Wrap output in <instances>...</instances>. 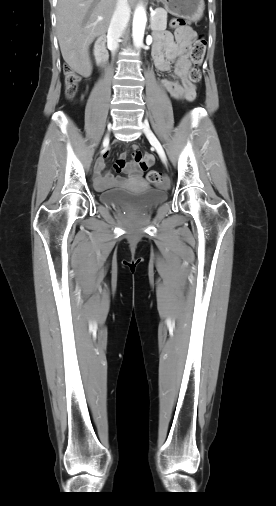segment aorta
Here are the masks:
<instances>
[{"mask_svg":"<svg viewBox=\"0 0 276 506\" xmlns=\"http://www.w3.org/2000/svg\"><path fill=\"white\" fill-rule=\"evenodd\" d=\"M146 11L142 5H138L134 12L132 37L134 46L139 49L143 46V38L146 27Z\"/></svg>","mask_w":276,"mask_h":506,"instance_id":"762f6f07","label":"aorta"}]
</instances>
